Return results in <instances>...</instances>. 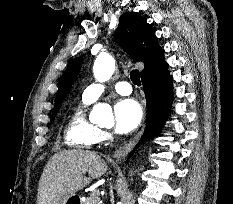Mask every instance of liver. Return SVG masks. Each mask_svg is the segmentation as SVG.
I'll return each mask as SVG.
<instances>
[{"mask_svg": "<svg viewBox=\"0 0 233 204\" xmlns=\"http://www.w3.org/2000/svg\"><path fill=\"white\" fill-rule=\"evenodd\" d=\"M108 170L106 162L88 150H63L47 162L38 187L37 204H65L76 192ZM88 172L89 177H85Z\"/></svg>", "mask_w": 233, "mask_h": 204, "instance_id": "liver-1", "label": "liver"}]
</instances>
